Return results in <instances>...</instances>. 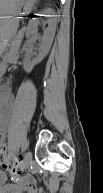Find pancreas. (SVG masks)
<instances>
[{
	"label": "pancreas",
	"mask_w": 103,
	"mask_h": 193,
	"mask_svg": "<svg viewBox=\"0 0 103 193\" xmlns=\"http://www.w3.org/2000/svg\"><path fill=\"white\" fill-rule=\"evenodd\" d=\"M11 26H17V22L16 21H11L10 22ZM21 44V38L19 36H15L14 39L11 41V45H10V51L7 54L8 57H13L17 54V51L20 47Z\"/></svg>",
	"instance_id": "obj_1"
}]
</instances>
